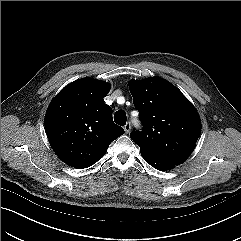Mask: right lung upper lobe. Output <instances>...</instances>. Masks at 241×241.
<instances>
[{
    "instance_id": "1",
    "label": "right lung upper lobe",
    "mask_w": 241,
    "mask_h": 241,
    "mask_svg": "<svg viewBox=\"0 0 241 241\" xmlns=\"http://www.w3.org/2000/svg\"><path fill=\"white\" fill-rule=\"evenodd\" d=\"M109 91L108 83L83 78L67 85L51 101L44 121L46 134L56 155L69 166H92L124 134L104 103Z\"/></svg>"
}]
</instances>
